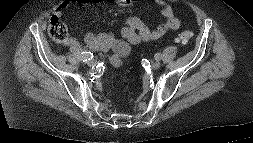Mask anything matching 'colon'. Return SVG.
Segmentation results:
<instances>
[{"label":"colon","instance_id":"1","mask_svg":"<svg viewBox=\"0 0 253 143\" xmlns=\"http://www.w3.org/2000/svg\"><path fill=\"white\" fill-rule=\"evenodd\" d=\"M48 34L51 39L58 44H64L68 40L67 28L57 16H52L50 18L48 25ZM191 38L192 33L189 31H184L177 36L176 42L178 44L184 45L187 44ZM113 60H115V58H113Z\"/></svg>","mask_w":253,"mask_h":143}]
</instances>
